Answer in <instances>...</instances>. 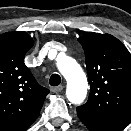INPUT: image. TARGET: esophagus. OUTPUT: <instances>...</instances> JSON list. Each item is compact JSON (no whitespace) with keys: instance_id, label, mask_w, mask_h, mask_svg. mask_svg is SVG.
<instances>
[{"instance_id":"1","label":"esophagus","mask_w":131,"mask_h":131,"mask_svg":"<svg viewBox=\"0 0 131 131\" xmlns=\"http://www.w3.org/2000/svg\"><path fill=\"white\" fill-rule=\"evenodd\" d=\"M63 90V86L62 85H59V86H54L51 88V91L54 92V93H59Z\"/></svg>"}]
</instances>
